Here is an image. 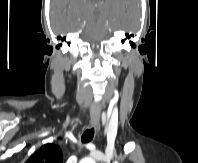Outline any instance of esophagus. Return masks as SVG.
Listing matches in <instances>:
<instances>
[{
    "label": "esophagus",
    "instance_id": "1",
    "mask_svg": "<svg viewBox=\"0 0 198 163\" xmlns=\"http://www.w3.org/2000/svg\"><path fill=\"white\" fill-rule=\"evenodd\" d=\"M90 126H91L92 128H94L96 132H98V130H99V128H100L99 118L92 117V118L90 119Z\"/></svg>",
    "mask_w": 198,
    "mask_h": 163
}]
</instances>
